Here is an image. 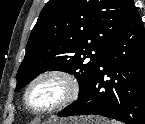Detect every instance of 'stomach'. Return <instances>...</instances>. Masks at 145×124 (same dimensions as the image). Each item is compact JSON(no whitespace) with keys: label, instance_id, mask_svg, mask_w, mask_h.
<instances>
[{"label":"stomach","instance_id":"stomach-1","mask_svg":"<svg viewBox=\"0 0 145 124\" xmlns=\"http://www.w3.org/2000/svg\"><path fill=\"white\" fill-rule=\"evenodd\" d=\"M46 124H108L104 121V119L100 117H73L68 119H60L55 121L54 123L52 121H49Z\"/></svg>","mask_w":145,"mask_h":124}]
</instances>
